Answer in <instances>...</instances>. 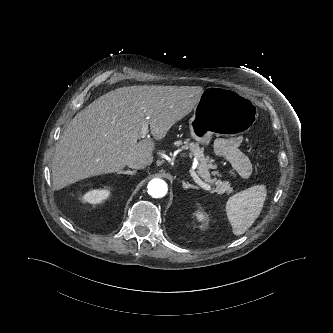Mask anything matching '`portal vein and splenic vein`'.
<instances>
[{
  "label": "portal vein and splenic vein",
  "mask_w": 333,
  "mask_h": 333,
  "mask_svg": "<svg viewBox=\"0 0 333 333\" xmlns=\"http://www.w3.org/2000/svg\"><path fill=\"white\" fill-rule=\"evenodd\" d=\"M148 134V118H146V120L144 121L142 128H141V132H140V138H145ZM191 176L193 177V179L195 180V182L202 187L205 190H211V186L205 182H203L198 175L191 170Z\"/></svg>",
  "instance_id": "1"
}]
</instances>
